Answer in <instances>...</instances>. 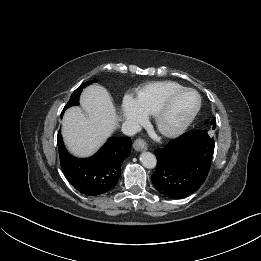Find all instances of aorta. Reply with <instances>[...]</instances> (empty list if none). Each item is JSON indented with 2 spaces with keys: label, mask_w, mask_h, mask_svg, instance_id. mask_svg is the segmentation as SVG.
I'll return each mask as SVG.
<instances>
[{
  "label": "aorta",
  "mask_w": 261,
  "mask_h": 261,
  "mask_svg": "<svg viewBox=\"0 0 261 261\" xmlns=\"http://www.w3.org/2000/svg\"><path fill=\"white\" fill-rule=\"evenodd\" d=\"M141 164L148 169H152L156 166L157 160L154 154L150 152H143L140 155Z\"/></svg>",
  "instance_id": "1"
}]
</instances>
